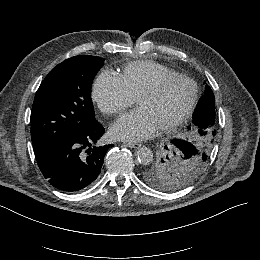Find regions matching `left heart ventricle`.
Returning <instances> with one entry per match:
<instances>
[{
	"mask_svg": "<svg viewBox=\"0 0 260 260\" xmlns=\"http://www.w3.org/2000/svg\"><path fill=\"white\" fill-rule=\"evenodd\" d=\"M157 78L152 81L155 83ZM194 96L193 85L177 79L166 83L156 94L141 97L136 106L143 108L156 127L180 117Z\"/></svg>",
	"mask_w": 260,
	"mask_h": 260,
	"instance_id": "b2bd125f",
	"label": "left heart ventricle"
}]
</instances>
